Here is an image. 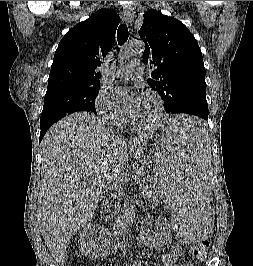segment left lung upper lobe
I'll use <instances>...</instances> for the list:
<instances>
[{"label":"left lung upper lobe","instance_id":"1","mask_svg":"<svg viewBox=\"0 0 253 266\" xmlns=\"http://www.w3.org/2000/svg\"><path fill=\"white\" fill-rule=\"evenodd\" d=\"M143 16L139 31L145 43L143 60L155 68L148 84L162 97L167 113H187L204 122L208 118L205 67L196 39L181 21L159 11Z\"/></svg>","mask_w":253,"mask_h":266}]
</instances>
